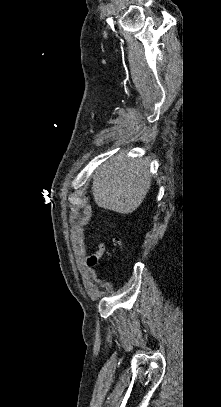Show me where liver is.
<instances>
[{
	"mask_svg": "<svg viewBox=\"0 0 221 407\" xmlns=\"http://www.w3.org/2000/svg\"><path fill=\"white\" fill-rule=\"evenodd\" d=\"M150 187L148 161L120 154L97 168L91 189L99 207L129 214L140 206Z\"/></svg>",
	"mask_w": 221,
	"mask_h": 407,
	"instance_id": "liver-1",
	"label": "liver"
}]
</instances>
